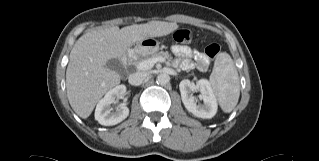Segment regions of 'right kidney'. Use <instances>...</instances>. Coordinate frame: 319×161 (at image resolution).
Returning a JSON list of instances; mask_svg holds the SVG:
<instances>
[{
  "instance_id": "1",
  "label": "right kidney",
  "mask_w": 319,
  "mask_h": 161,
  "mask_svg": "<svg viewBox=\"0 0 319 161\" xmlns=\"http://www.w3.org/2000/svg\"><path fill=\"white\" fill-rule=\"evenodd\" d=\"M126 93L125 85H117L113 89L109 90L106 95L98 102L95 109V119L104 126H112L122 122L128 115L129 109L122 103L113 111L110 108L112 103H115L118 99H123Z\"/></svg>"
}]
</instances>
